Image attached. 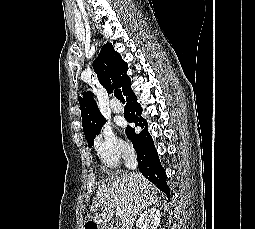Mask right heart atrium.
I'll return each mask as SVG.
<instances>
[{"instance_id":"d8ad5b80","label":"right heart atrium","mask_w":255,"mask_h":229,"mask_svg":"<svg viewBox=\"0 0 255 229\" xmlns=\"http://www.w3.org/2000/svg\"><path fill=\"white\" fill-rule=\"evenodd\" d=\"M94 148L102 165L106 168L116 166L122 158L131 153L130 145L118 138L108 127L103 128L96 136Z\"/></svg>"}]
</instances>
